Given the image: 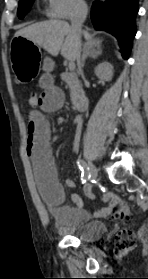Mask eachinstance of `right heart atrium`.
Wrapping results in <instances>:
<instances>
[{
	"mask_svg": "<svg viewBox=\"0 0 148 279\" xmlns=\"http://www.w3.org/2000/svg\"><path fill=\"white\" fill-rule=\"evenodd\" d=\"M47 14L56 19H73L82 16L86 11L84 0H47Z\"/></svg>",
	"mask_w": 148,
	"mask_h": 279,
	"instance_id": "1",
	"label": "right heart atrium"
}]
</instances>
